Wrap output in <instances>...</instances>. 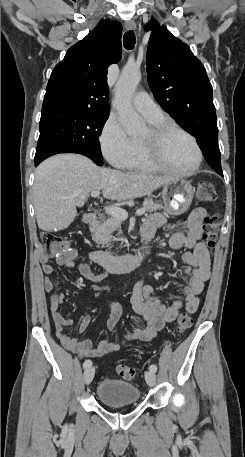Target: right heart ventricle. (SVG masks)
Returning a JSON list of instances; mask_svg holds the SVG:
<instances>
[{
	"label": "right heart ventricle",
	"mask_w": 245,
	"mask_h": 457,
	"mask_svg": "<svg viewBox=\"0 0 245 457\" xmlns=\"http://www.w3.org/2000/svg\"><path fill=\"white\" fill-rule=\"evenodd\" d=\"M152 123L164 121L162 117L150 120ZM122 168L128 170H150L151 168L142 160L139 154L138 140H133V148L130 155L119 164Z\"/></svg>",
	"instance_id": "e07e8e85"
}]
</instances>
